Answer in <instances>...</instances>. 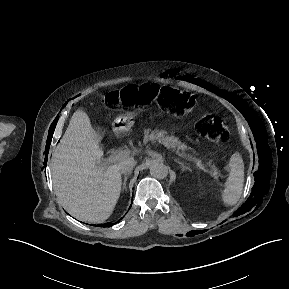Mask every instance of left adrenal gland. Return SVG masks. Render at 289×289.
Returning a JSON list of instances; mask_svg holds the SVG:
<instances>
[{"mask_svg":"<svg viewBox=\"0 0 289 289\" xmlns=\"http://www.w3.org/2000/svg\"><path fill=\"white\" fill-rule=\"evenodd\" d=\"M176 163H178L181 166L182 170H191L187 165H185L183 162H181L179 159H174Z\"/></svg>","mask_w":289,"mask_h":289,"instance_id":"obj_1","label":"left adrenal gland"}]
</instances>
